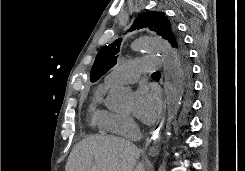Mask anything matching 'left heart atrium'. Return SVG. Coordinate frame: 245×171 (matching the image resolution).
Returning <instances> with one entry per match:
<instances>
[{
	"label": "left heart atrium",
	"mask_w": 245,
	"mask_h": 171,
	"mask_svg": "<svg viewBox=\"0 0 245 171\" xmlns=\"http://www.w3.org/2000/svg\"><path fill=\"white\" fill-rule=\"evenodd\" d=\"M161 111V99L156 90L139 88L135 93L134 114L145 124L153 123Z\"/></svg>",
	"instance_id": "1"
}]
</instances>
